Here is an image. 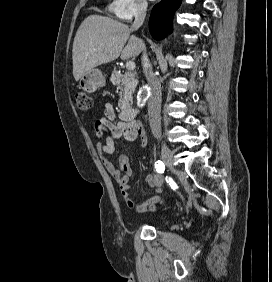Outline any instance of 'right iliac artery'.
Instances as JSON below:
<instances>
[{"instance_id": "right-iliac-artery-1", "label": "right iliac artery", "mask_w": 272, "mask_h": 282, "mask_svg": "<svg viewBox=\"0 0 272 282\" xmlns=\"http://www.w3.org/2000/svg\"><path fill=\"white\" fill-rule=\"evenodd\" d=\"M155 169L158 173H163L164 170H165V166H164V163L161 162V161H157L155 163Z\"/></svg>"}]
</instances>
